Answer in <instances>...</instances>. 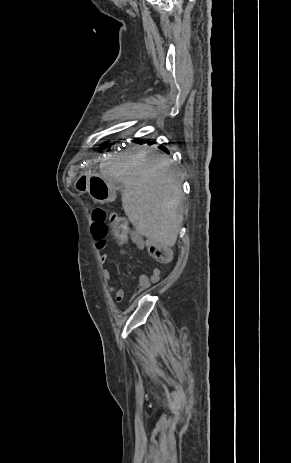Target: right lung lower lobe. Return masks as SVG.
I'll return each mask as SVG.
<instances>
[{"mask_svg":"<svg viewBox=\"0 0 291 463\" xmlns=\"http://www.w3.org/2000/svg\"><path fill=\"white\" fill-rule=\"evenodd\" d=\"M155 142H148L149 145L154 144ZM164 150H166L164 147H162Z\"/></svg>","mask_w":291,"mask_h":463,"instance_id":"obj_1","label":"right lung lower lobe"}]
</instances>
